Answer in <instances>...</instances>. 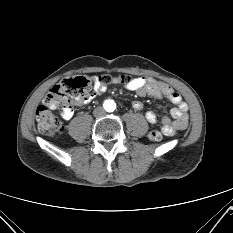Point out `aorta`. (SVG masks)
I'll use <instances>...</instances> for the list:
<instances>
[{
	"label": "aorta",
	"instance_id": "aorta-1",
	"mask_svg": "<svg viewBox=\"0 0 233 233\" xmlns=\"http://www.w3.org/2000/svg\"><path fill=\"white\" fill-rule=\"evenodd\" d=\"M109 106H110V110L114 109V103L112 101H108Z\"/></svg>",
	"mask_w": 233,
	"mask_h": 233
}]
</instances>
